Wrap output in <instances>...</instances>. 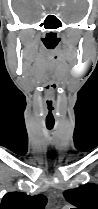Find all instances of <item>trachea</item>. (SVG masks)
<instances>
[{
	"instance_id": "3493384b",
	"label": "trachea",
	"mask_w": 98,
	"mask_h": 209,
	"mask_svg": "<svg viewBox=\"0 0 98 209\" xmlns=\"http://www.w3.org/2000/svg\"><path fill=\"white\" fill-rule=\"evenodd\" d=\"M47 128H48V129H52L53 127H52V126H48Z\"/></svg>"
}]
</instances>
